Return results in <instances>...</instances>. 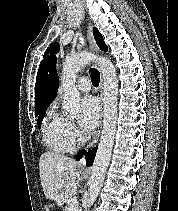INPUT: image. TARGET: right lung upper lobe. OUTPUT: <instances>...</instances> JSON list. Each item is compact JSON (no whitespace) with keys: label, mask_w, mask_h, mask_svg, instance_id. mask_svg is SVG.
<instances>
[{"label":"right lung upper lobe","mask_w":178,"mask_h":211,"mask_svg":"<svg viewBox=\"0 0 178 211\" xmlns=\"http://www.w3.org/2000/svg\"><path fill=\"white\" fill-rule=\"evenodd\" d=\"M58 76L54 56L42 60L36 78L35 113L45 110L56 97Z\"/></svg>","instance_id":"right-lung-upper-lobe-1"}]
</instances>
